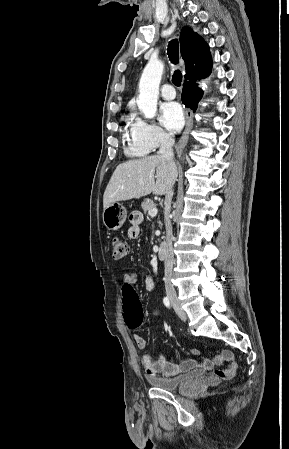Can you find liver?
<instances>
[{
    "instance_id": "6515ba94",
    "label": "liver",
    "mask_w": 289,
    "mask_h": 449,
    "mask_svg": "<svg viewBox=\"0 0 289 449\" xmlns=\"http://www.w3.org/2000/svg\"><path fill=\"white\" fill-rule=\"evenodd\" d=\"M177 175L175 163L171 166L160 155L121 163L116 167L106 187L103 208L114 202L140 199L150 193L165 195L173 186Z\"/></svg>"
}]
</instances>
